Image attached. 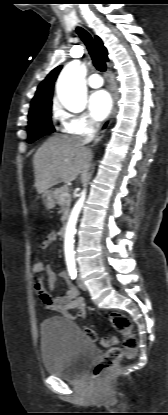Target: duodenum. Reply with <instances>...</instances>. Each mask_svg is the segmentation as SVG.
Returning <instances> with one entry per match:
<instances>
[{"instance_id":"duodenum-1","label":"duodenum","mask_w":168,"mask_h":415,"mask_svg":"<svg viewBox=\"0 0 168 415\" xmlns=\"http://www.w3.org/2000/svg\"><path fill=\"white\" fill-rule=\"evenodd\" d=\"M66 232H67V225H66V223H64V224L61 226V228H60V230H59V233H60V235H61V236H65Z\"/></svg>"}]
</instances>
